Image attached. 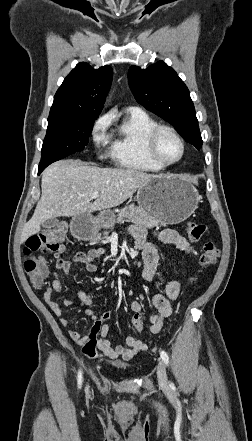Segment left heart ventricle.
<instances>
[{"label":"left heart ventricle","mask_w":252,"mask_h":441,"mask_svg":"<svg viewBox=\"0 0 252 441\" xmlns=\"http://www.w3.org/2000/svg\"><path fill=\"white\" fill-rule=\"evenodd\" d=\"M157 153L162 160L173 161L181 154L180 143L171 134L164 132L157 140Z\"/></svg>","instance_id":"obj_1"}]
</instances>
